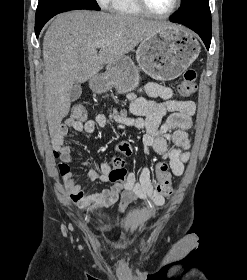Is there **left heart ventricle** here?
Wrapping results in <instances>:
<instances>
[{
  "label": "left heart ventricle",
  "instance_id": "1",
  "mask_svg": "<svg viewBox=\"0 0 247 280\" xmlns=\"http://www.w3.org/2000/svg\"><path fill=\"white\" fill-rule=\"evenodd\" d=\"M175 0H146L148 6L158 13L167 12L174 5Z\"/></svg>",
  "mask_w": 247,
  "mask_h": 280
}]
</instances>
